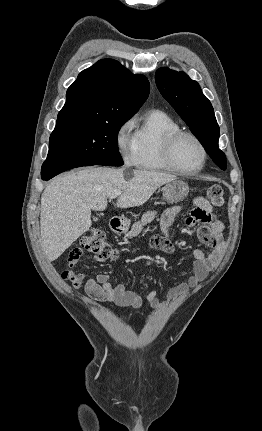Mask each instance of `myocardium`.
I'll return each mask as SVG.
<instances>
[{
    "label": "myocardium",
    "mask_w": 262,
    "mask_h": 431,
    "mask_svg": "<svg viewBox=\"0 0 262 431\" xmlns=\"http://www.w3.org/2000/svg\"><path fill=\"white\" fill-rule=\"evenodd\" d=\"M182 138H189V139L193 140L198 145V147L200 148V150L202 152V163L195 170L189 171V170L182 168L178 164V162L175 158L176 145ZM163 158H164L166 164L172 170L177 171L178 173L185 175V176H195L205 167L206 162H207V158H208V153H207V149H206L205 145L197 136H195L194 134H192L190 132L180 130V131L173 132V133L166 136L165 141H164V147H163Z\"/></svg>",
    "instance_id": "1"
}]
</instances>
